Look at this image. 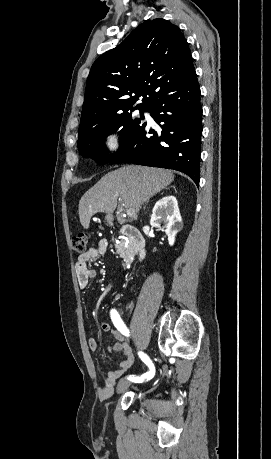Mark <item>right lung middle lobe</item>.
Returning a JSON list of instances; mask_svg holds the SVG:
<instances>
[{"instance_id": "dd1d6c3e", "label": "right lung middle lobe", "mask_w": 271, "mask_h": 459, "mask_svg": "<svg viewBox=\"0 0 271 459\" xmlns=\"http://www.w3.org/2000/svg\"><path fill=\"white\" fill-rule=\"evenodd\" d=\"M140 118L133 117L134 108L115 115L96 117L80 123L78 131V149L82 156L94 159L98 164L109 163L114 155H109L104 148V140L109 135L120 130L121 144L124 145L142 124L143 112L147 106H138ZM130 111V112H129Z\"/></svg>"}]
</instances>
